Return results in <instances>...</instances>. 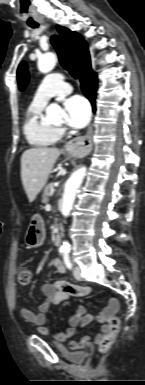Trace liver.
I'll list each match as a JSON object with an SVG mask.
<instances>
[{"label":"liver","instance_id":"1","mask_svg":"<svg viewBox=\"0 0 145 385\" xmlns=\"http://www.w3.org/2000/svg\"><path fill=\"white\" fill-rule=\"evenodd\" d=\"M59 156L60 150L57 148H30L23 152L21 179L29 202H33L46 185Z\"/></svg>","mask_w":145,"mask_h":385}]
</instances>
